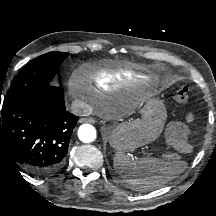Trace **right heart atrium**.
<instances>
[{"label":"right heart atrium","instance_id":"1","mask_svg":"<svg viewBox=\"0 0 216 216\" xmlns=\"http://www.w3.org/2000/svg\"><path fill=\"white\" fill-rule=\"evenodd\" d=\"M70 89L71 91L75 92L78 90V85L75 81H73L71 84H70Z\"/></svg>","mask_w":216,"mask_h":216}]
</instances>
